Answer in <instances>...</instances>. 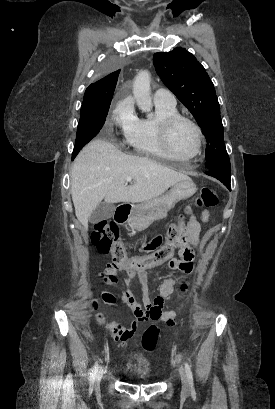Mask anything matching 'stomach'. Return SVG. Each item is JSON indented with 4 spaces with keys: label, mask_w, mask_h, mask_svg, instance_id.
I'll list each match as a JSON object with an SVG mask.
<instances>
[{
    "label": "stomach",
    "mask_w": 275,
    "mask_h": 409,
    "mask_svg": "<svg viewBox=\"0 0 275 409\" xmlns=\"http://www.w3.org/2000/svg\"><path fill=\"white\" fill-rule=\"evenodd\" d=\"M196 184H194L191 178H184V180H179L171 186L169 192L162 194V196H156V198H150L147 202H143V205H136L132 209V219L134 221H139V219H146L150 215H154L157 209H173L174 205L178 200H183V198H189L194 192H196Z\"/></svg>",
    "instance_id": "obj_1"
}]
</instances>
